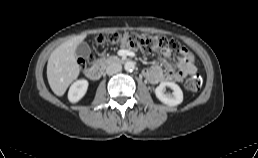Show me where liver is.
Segmentation results:
<instances>
[{
    "label": "liver",
    "instance_id": "liver-1",
    "mask_svg": "<svg viewBox=\"0 0 258 158\" xmlns=\"http://www.w3.org/2000/svg\"><path fill=\"white\" fill-rule=\"evenodd\" d=\"M85 38L86 34L75 36L59 45L49 56L47 79L50 88L57 96H62L79 75L80 68L75 58V51Z\"/></svg>",
    "mask_w": 258,
    "mask_h": 158
}]
</instances>
